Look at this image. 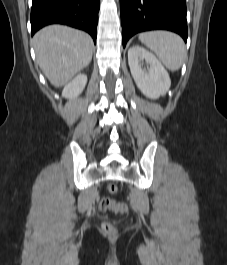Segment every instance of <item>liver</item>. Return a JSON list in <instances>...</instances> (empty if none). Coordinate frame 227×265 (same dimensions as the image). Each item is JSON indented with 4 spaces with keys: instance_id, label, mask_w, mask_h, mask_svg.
Here are the masks:
<instances>
[{
    "instance_id": "1",
    "label": "liver",
    "mask_w": 227,
    "mask_h": 265,
    "mask_svg": "<svg viewBox=\"0 0 227 265\" xmlns=\"http://www.w3.org/2000/svg\"><path fill=\"white\" fill-rule=\"evenodd\" d=\"M36 59L55 87L67 84L92 59L93 40L85 32L64 25H50L33 37Z\"/></svg>"
}]
</instances>
